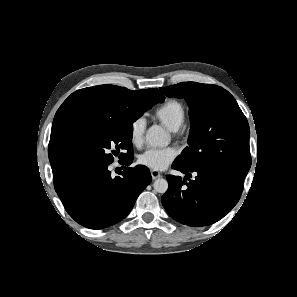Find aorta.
Returning a JSON list of instances; mask_svg holds the SVG:
<instances>
[{"label":"aorta","mask_w":297,"mask_h":297,"mask_svg":"<svg viewBox=\"0 0 297 297\" xmlns=\"http://www.w3.org/2000/svg\"><path fill=\"white\" fill-rule=\"evenodd\" d=\"M145 140L151 147H161L166 145L168 137L166 132L158 125L151 126L146 135ZM154 190L158 193H165L168 189V182L166 179L159 178L153 184Z\"/></svg>","instance_id":"1"}]
</instances>
